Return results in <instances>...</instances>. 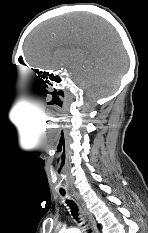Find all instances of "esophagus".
<instances>
[{
  "label": "esophagus",
  "instance_id": "esophagus-1",
  "mask_svg": "<svg viewBox=\"0 0 148 233\" xmlns=\"http://www.w3.org/2000/svg\"><path fill=\"white\" fill-rule=\"evenodd\" d=\"M73 196L75 197V199L79 202V204L81 205V209H82V212L85 216V218L88 220L92 230H93V233H98V229L96 227V222H95V219L93 217V215L90 213V211L88 210V208L86 207L85 203L82 201L80 195L77 193V192H73Z\"/></svg>",
  "mask_w": 148,
  "mask_h": 233
}]
</instances>
